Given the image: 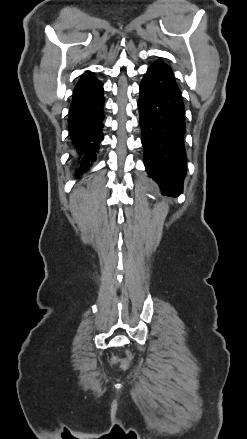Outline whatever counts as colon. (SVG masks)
Wrapping results in <instances>:
<instances>
[{
    "label": "colon",
    "mask_w": 247,
    "mask_h": 439,
    "mask_svg": "<svg viewBox=\"0 0 247 439\" xmlns=\"http://www.w3.org/2000/svg\"><path fill=\"white\" fill-rule=\"evenodd\" d=\"M121 364H122L124 367L128 366V364H129V359H123V360H121Z\"/></svg>",
    "instance_id": "obj_1"
}]
</instances>
